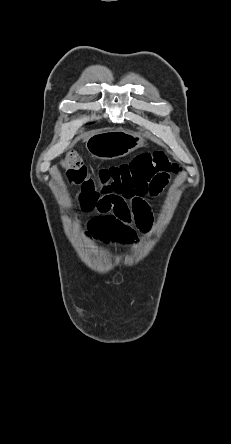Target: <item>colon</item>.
<instances>
[{"mask_svg": "<svg viewBox=\"0 0 231 444\" xmlns=\"http://www.w3.org/2000/svg\"><path fill=\"white\" fill-rule=\"evenodd\" d=\"M63 167L69 181L81 188L82 197H119L128 201L134 210L141 207L143 196L152 194L153 182L165 183L169 174L178 171V166L162 152L143 154L128 164L101 169L96 177L88 174L75 153L66 155Z\"/></svg>", "mask_w": 231, "mask_h": 444, "instance_id": "colon-1", "label": "colon"}]
</instances>
